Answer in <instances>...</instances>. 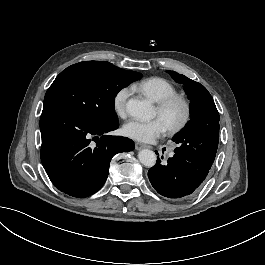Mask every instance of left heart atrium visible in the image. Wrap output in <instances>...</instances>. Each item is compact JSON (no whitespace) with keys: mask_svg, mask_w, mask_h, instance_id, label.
I'll use <instances>...</instances> for the list:
<instances>
[{"mask_svg":"<svg viewBox=\"0 0 265 265\" xmlns=\"http://www.w3.org/2000/svg\"><path fill=\"white\" fill-rule=\"evenodd\" d=\"M166 131V126L159 118L150 121L132 119L123 127V133L139 142H150L162 135Z\"/></svg>","mask_w":265,"mask_h":265,"instance_id":"1","label":"left heart atrium"}]
</instances>
